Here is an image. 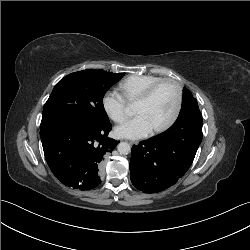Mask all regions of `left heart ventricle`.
I'll use <instances>...</instances> for the list:
<instances>
[{"label":"left heart ventricle","instance_id":"b2bd125f","mask_svg":"<svg viewBox=\"0 0 250 250\" xmlns=\"http://www.w3.org/2000/svg\"><path fill=\"white\" fill-rule=\"evenodd\" d=\"M176 105V89L170 84L161 85L152 98L145 103L135 104V114L143 115L152 129L163 125L172 116Z\"/></svg>","mask_w":250,"mask_h":250}]
</instances>
